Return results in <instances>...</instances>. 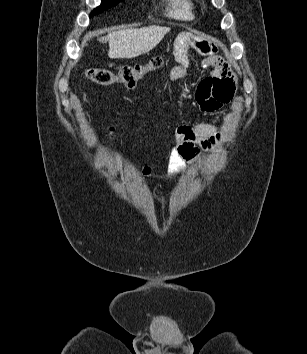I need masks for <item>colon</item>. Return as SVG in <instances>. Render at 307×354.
Instances as JSON below:
<instances>
[{"mask_svg":"<svg viewBox=\"0 0 307 354\" xmlns=\"http://www.w3.org/2000/svg\"><path fill=\"white\" fill-rule=\"evenodd\" d=\"M163 64V58L155 56L144 63L125 65L116 71L98 66L87 67L85 75L90 81L101 86L121 84L133 88L146 74L160 69Z\"/></svg>","mask_w":307,"mask_h":354,"instance_id":"obj_1","label":"colon"}]
</instances>
